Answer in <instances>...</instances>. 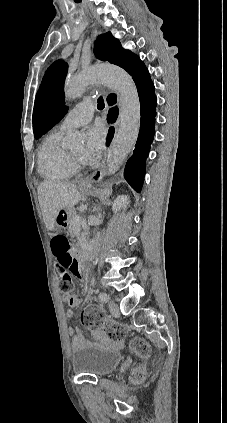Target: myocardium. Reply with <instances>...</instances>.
Listing matches in <instances>:
<instances>
[{
  "instance_id": "myocardium-1",
  "label": "myocardium",
  "mask_w": 227,
  "mask_h": 423,
  "mask_svg": "<svg viewBox=\"0 0 227 423\" xmlns=\"http://www.w3.org/2000/svg\"><path fill=\"white\" fill-rule=\"evenodd\" d=\"M71 157H72L73 161H75L78 164H80L82 162L81 158L75 156L73 153L71 154Z\"/></svg>"
}]
</instances>
